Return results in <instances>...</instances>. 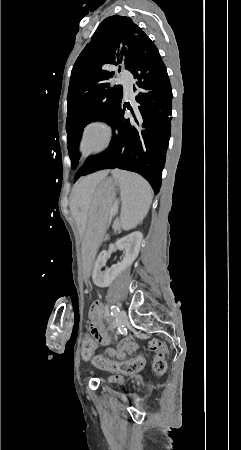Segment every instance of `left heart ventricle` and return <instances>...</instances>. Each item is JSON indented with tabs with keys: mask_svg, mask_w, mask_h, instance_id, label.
<instances>
[{
	"mask_svg": "<svg viewBox=\"0 0 241 450\" xmlns=\"http://www.w3.org/2000/svg\"><path fill=\"white\" fill-rule=\"evenodd\" d=\"M97 127H91V128H86V130H95ZM94 138V137H93ZM92 137H91V139H93Z\"/></svg>",
	"mask_w": 241,
	"mask_h": 450,
	"instance_id": "left-heart-ventricle-1",
	"label": "left heart ventricle"
}]
</instances>
